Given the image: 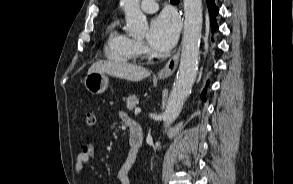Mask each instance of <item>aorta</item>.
<instances>
[{
  "mask_svg": "<svg viewBox=\"0 0 293 184\" xmlns=\"http://www.w3.org/2000/svg\"><path fill=\"white\" fill-rule=\"evenodd\" d=\"M184 32L179 70L169 95L163 121L164 127L179 116L184 102L190 95L197 77L199 46L202 30V0H183ZM127 30L132 36H142L148 29L146 16L141 12L139 0H121Z\"/></svg>",
  "mask_w": 293,
  "mask_h": 184,
  "instance_id": "aorta-1",
  "label": "aorta"
}]
</instances>
